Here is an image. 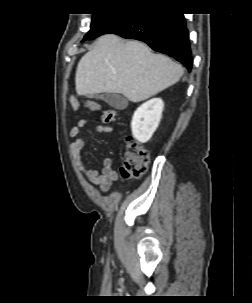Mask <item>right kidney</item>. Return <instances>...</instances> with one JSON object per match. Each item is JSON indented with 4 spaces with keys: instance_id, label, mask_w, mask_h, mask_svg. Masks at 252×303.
Masks as SVG:
<instances>
[{
    "instance_id": "obj_1",
    "label": "right kidney",
    "mask_w": 252,
    "mask_h": 303,
    "mask_svg": "<svg viewBox=\"0 0 252 303\" xmlns=\"http://www.w3.org/2000/svg\"><path fill=\"white\" fill-rule=\"evenodd\" d=\"M163 108L164 103L161 98L150 99L137 108L131 122L135 139L141 143H146L151 139L158 128Z\"/></svg>"
}]
</instances>
